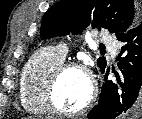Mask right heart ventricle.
<instances>
[{
    "label": "right heart ventricle",
    "mask_w": 142,
    "mask_h": 119,
    "mask_svg": "<svg viewBox=\"0 0 142 119\" xmlns=\"http://www.w3.org/2000/svg\"><path fill=\"white\" fill-rule=\"evenodd\" d=\"M63 61L64 58L53 48L40 49L31 56L20 78V99L25 110L39 115L50 112L45 88L51 74Z\"/></svg>",
    "instance_id": "1"
}]
</instances>
